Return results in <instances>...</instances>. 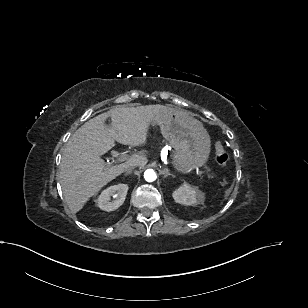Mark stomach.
Here are the masks:
<instances>
[{
	"mask_svg": "<svg viewBox=\"0 0 308 308\" xmlns=\"http://www.w3.org/2000/svg\"><path fill=\"white\" fill-rule=\"evenodd\" d=\"M159 125L163 137L175 149L173 165L180 172L202 167L210 154V136L187 112L170 108L159 113L151 125Z\"/></svg>",
	"mask_w": 308,
	"mask_h": 308,
	"instance_id": "stomach-1",
	"label": "stomach"
}]
</instances>
